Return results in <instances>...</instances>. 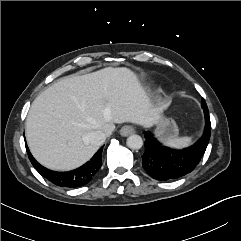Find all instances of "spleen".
Masks as SVG:
<instances>
[{
	"label": "spleen",
	"mask_w": 241,
	"mask_h": 241,
	"mask_svg": "<svg viewBox=\"0 0 241 241\" xmlns=\"http://www.w3.org/2000/svg\"><path fill=\"white\" fill-rule=\"evenodd\" d=\"M191 142L190 137H177L164 141V145L172 148H184L187 147Z\"/></svg>",
	"instance_id": "1"
}]
</instances>
